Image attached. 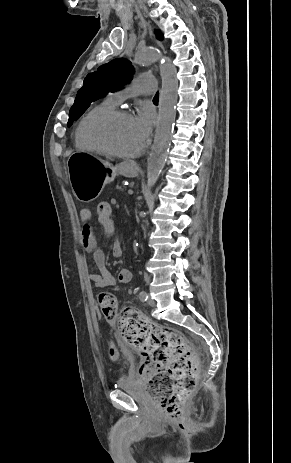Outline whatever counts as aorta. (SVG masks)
Returning <instances> with one entry per match:
<instances>
[{
    "label": "aorta",
    "instance_id": "aorta-1",
    "mask_svg": "<svg viewBox=\"0 0 291 463\" xmlns=\"http://www.w3.org/2000/svg\"><path fill=\"white\" fill-rule=\"evenodd\" d=\"M161 61L162 88L159 99L158 122L154 142L148 159L147 190H151L162 172L168 156L172 138L173 124L176 117L178 80L176 68L172 62L159 54L156 48L148 47L137 52L135 62L140 65Z\"/></svg>",
    "mask_w": 291,
    "mask_h": 463
}]
</instances>
